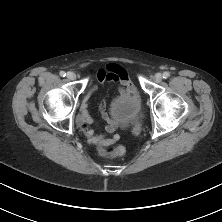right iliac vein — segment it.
<instances>
[{"label": "right iliac vein", "instance_id": "1", "mask_svg": "<svg viewBox=\"0 0 222 222\" xmlns=\"http://www.w3.org/2000/svg\"><path fill=\"white\" fill-rule=\"evenodd\" d=\"M67 78L69 80H74V79H76V74L74 72H68L67 73Z\"/></svg>", "mask_w": 222, "mask_h": 222}]
</instances>
